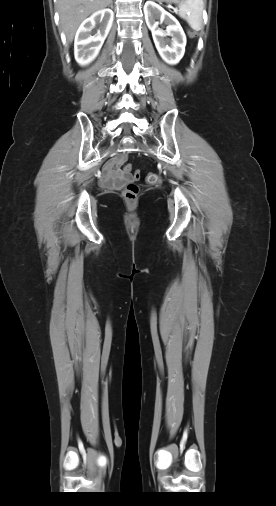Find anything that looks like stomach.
Masks as SVG:
<instances>
[{"instance_id": "obj_1", "label": "stomach", "mask_w": 276, "mask_h": 506, "mask_svg": "<svg viewBox=\"0 0 276 506\" xmlns=\"http://www.w3.org/2000/svg\"><path fill=\"white\" fill-rule=\"evenodd\" d=\"M158 2H166V3H173L177 2L178 0H157Z\"/></svg>"}]
</instances>
